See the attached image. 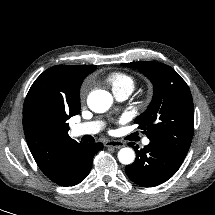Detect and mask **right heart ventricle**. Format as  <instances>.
<instances>
[{
  "instance_id": "obj_1",
  "label": "right heart ventricle",
  "mask_w": 215,
  "mask_h": 215,
  "mask_svg": "<svg viewBox=\"0 0 215 215\" xmlns=\"http://www.w3.org/2000/svg\"><path fill=\"white\" fill-rule=\"evenodd\" d=\"M113 93L121 91L132 92L136 86V79L125 72H112L105 78Z\"/></svg>"
}]
</instances>
